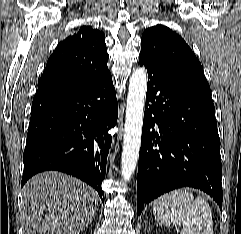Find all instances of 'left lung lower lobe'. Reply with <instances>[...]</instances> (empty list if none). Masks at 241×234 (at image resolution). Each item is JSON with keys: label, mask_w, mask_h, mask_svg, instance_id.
Masks as SVG:
<instances>
[{"label": "left lung lower lobe", "mask_w": 241, "mask_h": 234, "mask_svg": "<svg viewBox=\"0 0 241 234\" xmlns=\"http://www.w3.org/2000/svg\"><path fill=\"white\" fill-rule=\"evenodd\" d=\"M148 72L137 176V213L170 190H203L222 210L220 139L210 88L139 56Z\"/></svg>", "instance_id": "0a47b994"}]
</instances>
